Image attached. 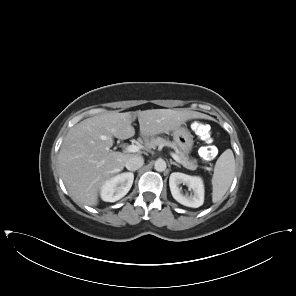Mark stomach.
Listing matches in <instances>:
<instances>
[{
    "mask_svg": "<svg viewBox=\"0 0 296 296\" xmlns=\"http://www.w3.org/2000/svg\"><path fill=\"white\" fill-rule=\"evenodd\" d=\"M173 139L176 146L186 155H188L193 147V136L184 127L173 130Z\"/></svg>",
    "mask_w": 296,
    "mask_h": 296,
    "instance_id": "1",
    "label": "stomach"
}]
</instances>
